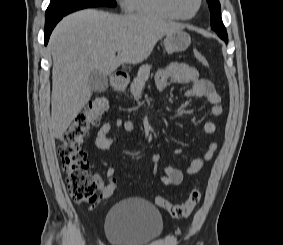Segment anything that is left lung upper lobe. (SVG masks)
<instances>
[{
  "label": "left lung upper lobe",
  "instance_id": "5c2ea615",
  "mask_svg": "<svg viewBox=\"0 0 283 245\" xmlns=\"http://www.w3.org/2000/svg\"><path fill=\"white\" fill-rule=\"evenodd\" d=\"M207 2L211 13L210 23L212 29L217 32L222 40L228 42V35L221 19L219 0H207Z\"/></svg>",
  "mask_w": 283,
  "mask_h": 245
}]
</instances>
